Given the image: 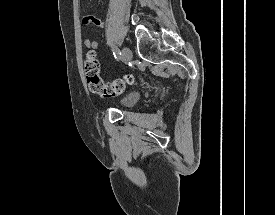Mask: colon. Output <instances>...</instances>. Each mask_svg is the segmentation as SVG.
<instances>
[{"mask_svg":"<svg viewBox=\"0 0 275 215\" xmlns=\"http://www.w3.org/2000/svg\"><path fill=\"white\" fill-rule=\"evenodd\" d=\"M83 64L90 90L102 97L109 98L119 95L128 85L134 82V78L130 74L111 82L104 81L100 76V65L97 55L92 50L86 53Z\"/></svg>","mask_w":275,"mask_h":215,"instance_id":"5ec220e1","label":"colon"}]
</instances>
